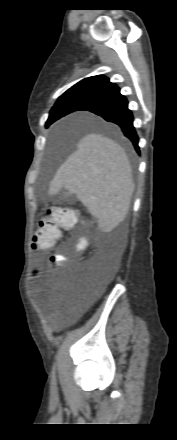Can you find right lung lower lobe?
<instances>
[{
	"instance_id": "98d812e1",
	"label": "right lung lower lobe",
	"mask_w": 177,
	"mask_h": 440,
	"mask_svg": "<svg viewBox=\"0 0 177 440\" xmlns=\"http://www.w3.org/2000/svg\"><path fill=\"white\" fill-rule=\"evenodd\" d=\"M81 110L90 111L108 122L117 124L122 129L123 134L133 143L137 153H140L139 138L133 126L134 118L132 112L128 109V101L120 92L95 101Z\"/></svg>"
}]
</instances>
